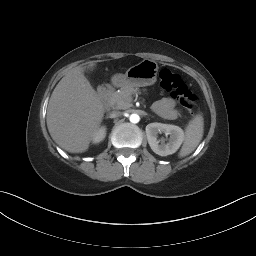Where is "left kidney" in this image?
I'll list each match as a JSON object with an SVG mask.
<instances>
[{"label":"left kidney","mask_w":256,"mask_h":256,"mask_svg":"<svg viewBox=\"0 0 256 256\" xmlns=\"http://www.w3.org/2000/svg\"><path fill=\"white\" fill-rule=\"evenodd\" d=\"M159 133L170 135L169 141L165 143L158 139ZM146 135L148 143L156 154L167 156L175 153L184 141V131L175 125L163 123H150L146 126Z\"/></svg>","instance_id":"obj_1"}]
</instances>
